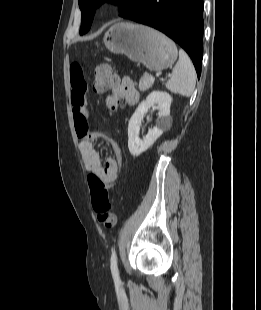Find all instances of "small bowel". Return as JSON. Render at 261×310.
<instances>
[{
	"label": "small bowel",
	"mask_w": 261,
	"mask_h": 310,
	"mask_svg": "<svg viewBox=\"0 0 261 310\" xmlns=\"http://www.w3.org/2000/svg\"><path fill=\"white\" fill-rule=\"evenodd\" d=\"M70 84L75 129L78 138L82 139L80 151L85 166L91 173L98 175L107 184L113 186L118 178V163L110 157L102 164L100 154L94 146V140L107 136L98 130L89 131V112L85 99L86 82L83 69L78 63H73L70 67ZM139 97L133 80L126 76L121 80H116L105 103L108 108L114 110L121 100H125L128 105L133 106L139 101Z\"/></svg>",
	"instance_id": "obj_1"
}]
</instances>
